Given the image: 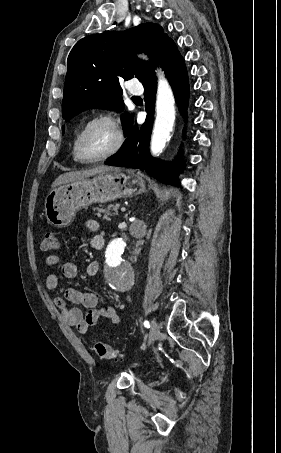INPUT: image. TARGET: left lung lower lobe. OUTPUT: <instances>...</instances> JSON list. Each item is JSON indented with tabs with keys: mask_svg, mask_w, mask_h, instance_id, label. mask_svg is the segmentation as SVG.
<instances>
[{
	"mask_svg": "<svg viewBox=\"0 0 281 453\" xmlns=\"http://www.w3.org/2000/svg\"><path fill=\"white\" fill-rule=\"evenodd\" d=\"M158 64L164 69L165 74L171 83L181 114L186 117L189 98L187 70L184 59L172 40L165 47ZM142 84L145 89L146 121L140 128L136 125L132 127L127 135L128 138L121 149L105 161V164L145 170L147 174L161 182L178 185V181L174 174L184 167V163L179 161L180 157L178 156L172 163H165L152 158L149 153V141L153 125L155 94L157 89L154 71L145 77Z\"/></svg>",
	"mask_w": 281,
	"mask_h": 453,
	"instance_id": "0a47b994",
	"label": "left lung lower lobe"
}]
</instances>
